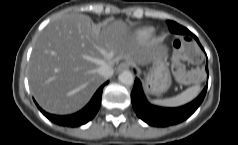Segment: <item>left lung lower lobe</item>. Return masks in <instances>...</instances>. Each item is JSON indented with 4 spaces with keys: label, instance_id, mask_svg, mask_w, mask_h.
Listing matches in <instances>:
<instances>
[{
    "label": "left lung lower lobe",
    "instance_id": "1",
    "mask_svg": "<svg viewBox=\"0 0 238 145\" xmlns=\"http://www.w3.org/2000/svg\"><path fill=\"white\" fill-rule=\"evenodd\" d=\"M171 32L182 35L192 36L200 45L197 37L192 34L188 29L180 26L176 22L172 21ZM201 46V45H200ZM206 71L208 73V66L206 65ZM207 86L203 89L201 94L192 102L178 107V108H163L151 105L142 90L141 82L138 78L135 79L134 87L131 92V100L135 113L144 122L151 126L167 127L183 122L190 117L196 109L202 103L206 95Z\"/></svg>",
    "mask_w": 238,
    "mask_h": 145
}]
</instances>
